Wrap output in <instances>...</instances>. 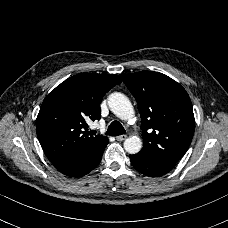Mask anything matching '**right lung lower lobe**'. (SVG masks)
<instances>
[{
    "mask_svg": "<svg viewBox=\"0 0 228 228\" xmlns=\"http://www.w3.org/2000/svg\"><path fill=\"white\" fill-rule=\"evenodd\" d=\"M108 139L96 144L86 154L77 159L53 164L61 173L71 176H84L96 168L102 158Z\"/></svg>",
    "mask_w": 228,
    "mask_h": 228,
    "instance_id": "obj_1",
    "label": "right lung lower lobe"
}]
</instances>
